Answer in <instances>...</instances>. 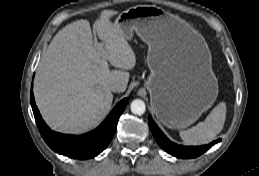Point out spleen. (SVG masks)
I'll return each instance as SVG.
<instances>
[{"label":"spleen","mask_w":259,"mask_h":176,"mask_svg":"<svg viewBox=\"0 0 259 176\" xmlns=\"http://www.w3.org/2000/svg\"><path fill=\"white\" fill-rule=\"evenodd\" d=\"M226 111V103L220 102L203 122L189 130L180 131L181 139L189 145H203L213 141L223 129Z\"/></svg>","instance_id":"1"}]
</instances>
